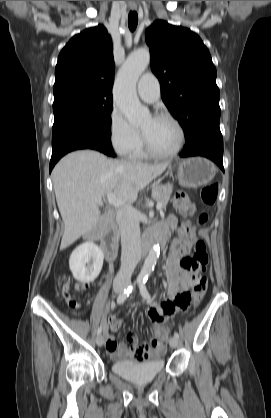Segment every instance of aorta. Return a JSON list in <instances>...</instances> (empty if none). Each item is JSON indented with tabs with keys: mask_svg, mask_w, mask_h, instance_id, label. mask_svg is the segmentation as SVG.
I'll use <instances>...</instances> for the list:
<instances>
[{
	"mask_svg": "<svg viewBox=\"0 0 271 418\" xmlns=\"http://www.w3.org/2000/svg\"><path fill=\"white\" fill-rule=\"evenodd\" d=\"M150 62V53L140 49L128 56L122 65L115 85V103L132 125H141L151 118L150 112L143 107L137 97L136 84ZM159 245L154 243L149 250L141 269L139 279L148 276L159 258Z\"/></svg>",
	"mask_w": 271,
	"mask_h": 418,
	"instance_id": "aorta-1",
	"label": "aorta"
}]
</instances>
